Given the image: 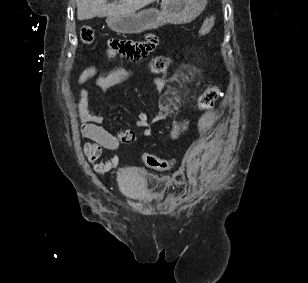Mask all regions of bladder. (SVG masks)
<instances>
[{"label": "bladder", "instance_id": "bladder-1", "mask_svg": "<svg viewBox=\"0 0 308 283\" xmlns=\"http://www.w3.org/2000/svg\"><path fill=\"white\" fill-rule=\"evenodd\" d=\"M119 185L122 191L130 198H140L144 180L139 173L121 171L119 173Z\"/></svg>", "mask_w": 308, "mask_h": 283}]
</instances>
